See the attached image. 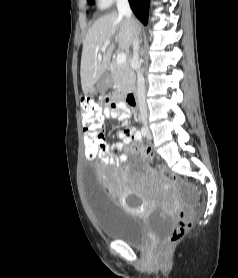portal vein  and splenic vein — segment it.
Wrapping results in <instances>:
<instances>
[{
	"label": "portal vein and splenic vein",
	"mask_w": 238,
	"mask_h": 278,
	"mask_svg": "<svg viewBox=\"0 0 238 278\" xmlns=\"http://www.w3.org/2000/svg\"><path fill=\"white\" fill-rule=\"evenodd\" d=\"M110 45V41H106L104 45L101 47L100 51L105 52L106 48ZM101 55V54H100ZM127 56L125 53H118L116 62L119 65H124L126 63Z\"/></svg>",
	"instance_id": "18ae733b"
}]
</instances>
